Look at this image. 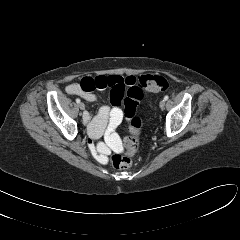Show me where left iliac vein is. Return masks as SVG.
Wrapping results in <instances>:
<instances>
[{
    "label": "left iliac vein",
    "mask_w": 240,
    "mask_h": 240,
    "mask_svg": "<svg viewBox=\"0 0 240 240\" xmlns=\"http://www.w3.org/2000/svg\"><path fill=\"white\" fill-rule=\"evenodd\" d=\"M160 108H163L165 106V100H161L159 103Z\"/></svg>",
    "instance_id": "obj_1"
}]
</instances>
